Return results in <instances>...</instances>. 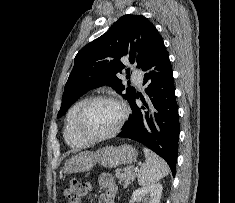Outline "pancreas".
Masks as SVG:
<instances>
[{
	"label": "pancreas",
	"mask_w": 235,
	"mask_h": 203,
	"mask_svg": "<svg viewBox=\"0 0 235 203\" xmlns=\"http://www.w3.org/2000/svg\"><path fill=\"white\" fill-rule=\"evenodd\" d=\"M115 175L118 179L123 180L125 185H128L134 180L136 172L134 171L133 166H127L124 169H117Z\"/></svg>",
	"instance_id": "cf45deb5"
}]
</instances>
